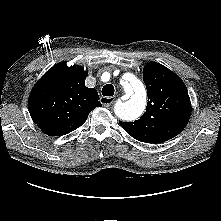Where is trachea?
I'll list each match as a JSON object with an SVG mask.
<instances>
[{"instance_id":"trachea-1","label":"trachea","mask_w":221,"mask_h":221,"mask_svg":"<svg viewBox=\"0 0 221 221\" xmlns=\"http://www.w3.org/2000/svg\"><path fill=\"white\" fill-rule=\"evenodd\" d=\"M114 86L112 84H106L103 88H102V94L103 96H112L114 95Z\"/></svg>"}]
</instances>
